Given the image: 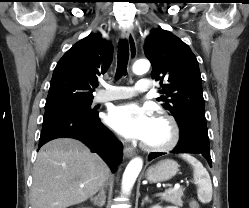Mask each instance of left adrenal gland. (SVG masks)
I'll use <instances>...</instances> for the list:
<instances>
[{
    "label": "left adrenal gland",
    "mask_w": 249,
    "mask_h": 208,
    "mask_svg": "<svg viewBox=\"0 0 249 208\" xmlns=\"http://www.w3.org/2000/svg\"><path fill=\"white\" fill-rule=\"evenodd\" d=\"M145 202H151V200L149 199L148 195L145 196V198L143 199L141 205L143 206Z\"/></svg>",
    "instance_id": "a2214340"
}]
</instances>
